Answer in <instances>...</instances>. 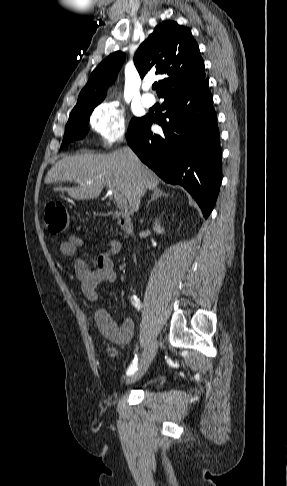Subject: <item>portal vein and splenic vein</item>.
I'll return each instance as SVG.
<instances>
[{
  "label": "portal vein and splenic vein",
  "instance_id": "18ae733b",
  "mask_svg": "<svg viewBox=\"0 0 287 486\" xmlns=\"http://www.w3.org/2000/svg\"><path fill=\"white\" fill-rule=\"evenodd\" d=\"M108 194L114 196L116 203L120 209L127 208L128 206L127 199L123 195H121L118 191L114 189H109Z\"/></svg>",
  "mask_w": 287,
  "mask_h": 486
}]
</instances>
